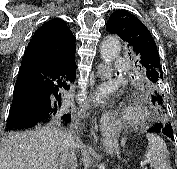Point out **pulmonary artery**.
Wrapping results in <instances>:
<instances>
[{"label": "pulmonary artery", "mask_w": 177, "mask_h": 169, "mask_svg": "<svg viewBox=\"0 0 177 169\" xmlns=\"http://www.w3.org/2000/svg\"><path fill=\"white\" fill-rule=\"evenodd\" d=\"M115 65L118 68H127L128 67V62L123 58H118L115 61Z\"/></svg>", "instance_id": "1"}]
</instances>
